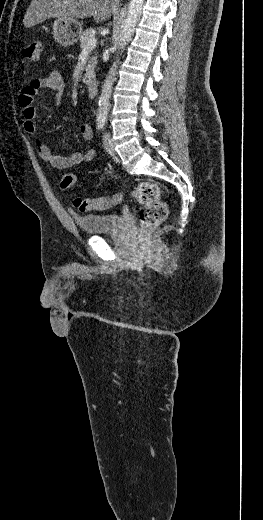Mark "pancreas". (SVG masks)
<instances>
[{
	"label": "pancreas",
	"instance_id": "1",
	"mask_svg": "<svg viewBox=\"0 0 263 520\" xmlns=\"http://www.w3.org/2000/svg\"><path fill=\"white\" fill-rule=\"evenodd\" d=\"M96 35V29L95 28H89L82 32V34L79 37L80 40V47L83 49L87 46V42L90 38L95 37ZM97 64V57L92 56L88 58V65L86 66V73L84 75L85 82H90L91 78L94 77V69Z\"/></svg>",
	"mask_w": 263,
	"mask_h": 520
}]
</instances>
